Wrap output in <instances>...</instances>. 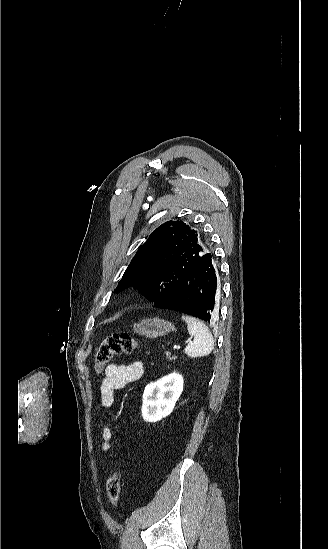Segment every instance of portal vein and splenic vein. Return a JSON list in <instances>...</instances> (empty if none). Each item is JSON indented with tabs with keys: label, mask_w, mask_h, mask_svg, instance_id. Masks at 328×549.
<instances>
[{
	"label": "portal vein and splenic vein",
	"mask_w": 328,
	"mask_h": 549,
	"mask_svg": "<svg viewBox=\"0 0 328 549\" xmlns=\"http://www.w3.org/2000/svg\"><path fill=\"white\" fill-rule=\"evenodd\" d=\"M185 343H191V340L185 341ZM175 350H180V347H178V345H175Z\"/></svg>",
	"instance_id": "obj_1"
}]
</instances>
